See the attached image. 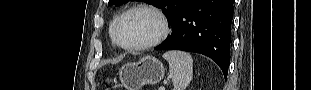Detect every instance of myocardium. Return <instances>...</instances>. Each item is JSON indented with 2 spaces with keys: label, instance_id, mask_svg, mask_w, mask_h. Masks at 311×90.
I'll list each match as a JSON object with an SVG mask.
<instances>
[{
  "label": "myocardium",
  "instance_id": "myocardium-1",
  "mask_svg": "<svg viewBox=\"0 0 311 90\" xmlns=\"http://www.w3.org/2000/svg\"><path fill=\"white\" fill-rule=\"evenodd\" d=\"M135 12H146V13L152 14L159 23V31L157 35L148 42L138 44V45H125L121 43L118 38V28H119L120 23L126 16H128L131 13H135ZM168 34H169V23H168L166 16L157 8H154L152 6L139 5V6H135L124 11L122 14H120L117 17L114 23V26H113L112 36H113L114 43L118 47L124 50H127V51H142V50H147V49L157 46L167 37Z\"/></svg>",
  "mask_w": 311,
  "mask_h": 90
}]
</instances>
